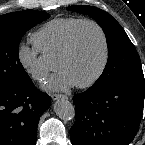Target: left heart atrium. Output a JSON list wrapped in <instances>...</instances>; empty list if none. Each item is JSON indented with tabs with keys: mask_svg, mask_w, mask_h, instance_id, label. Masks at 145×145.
Here are the masks:
<instances>
[{
	"mask_svg": "<svg viewBox=\"0 0 145 145\" xmlns=\"http://www.w3.org/2000/svg\"><path fill=\"white\" fill-rule=\"evenodd\" d=\"M74 85H76L75 82L65 71L58 70L50 77L45 88L51 91H64Z\"/></svg>",
	"mask_w": 145,
	"mask_h": 145,
	"instance_id": "obj_1",
	"label": "left heart atrium"
}]
</instances>
